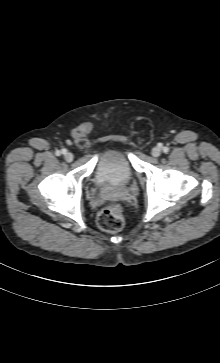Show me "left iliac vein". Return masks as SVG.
Masks as SVG:
<instances>
[{
	"label": "left iliac vein",
	"mask_w": 220,
	"mask_h": 363,
	"mask_svg": "<svg viewBox=\"0 0 220 363\" xmlns=\"http://www.w3.org/2000/svg\"><path fill=\"white\" fill-rule=\"evenodd\" d=\"M161 152H162V150H161V148H160L159 146H155V147L152 149V151H151V153H152V155H153L154 157H159V156L161 155Z\"/></svg>",
	"instance_id": "1"
}]
</instances>
